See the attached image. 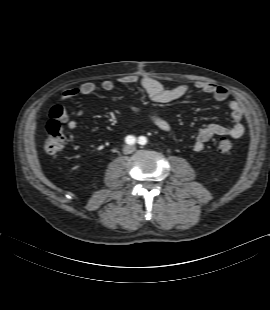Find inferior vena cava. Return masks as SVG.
<instances>
[{
	"label": "inferior vena cava",
	"instance_id": "1",
	"mask_svg": "<svg viewBox=\"0 0 270 310\" xmlns=\"http://www.w3.org/2000/svg\"><path fill=\"white\" fill-rule=\"evenodd\" d=\"M133 151V148L132 147H129V152H132Z\"/></svg>",
	"mask_w": 270,
	"mask_h": 310
}]
</instances>
